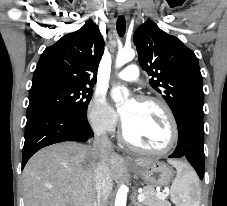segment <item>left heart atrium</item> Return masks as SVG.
Returning <instances> with one entry per match:
<instances>
[{"instance_id":"left-heart-atrium-1","label":"left heart atrium","mask_w":227,"mask_h":206,"mask_svg":"<svg viewBox=\"0 0 227 206\" xmlns=\"http://www.w3.org/2000/svg\"><path fill=\"white\" fill-rule=\"evenodd\" d=\"M122 121H123V124H124V126H125V124H126L127 121H128V116L125 115V114H123V115H122Z\"/></svg>"}]
</instances>
